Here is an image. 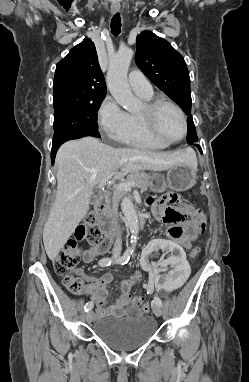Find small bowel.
I'll list each match as a JSON object with an SVG mask.
<instances>
[{
    "label": "small bowel",
    "instance_id": "obj_1",
    "mask_svg": "<svg viewBox=\"0 0 249 382\" xmlns=\"http://www.w3.org/2000/svg\"><path fill=\"white\" fill-rule=\"evenodd\" d=\"M181 202L182 197L172 193L163 195L157 200L153 197L147 199V204L151 206L155 218L170 225L167 232L169 240L178 241L179 245H182V250H184L191 247L192 241H194L200 234V229L193 217L189 218L180 208L168 205L169 203L179 204ZM168 213H170L171 216H168ZM111 245L112 239L106 237L102 243L90 247L83 252V261L85 263L93 262L98 255L107 252ZM77 272L89 282L85 287V292L94 302L95 311L98 317L136 316L146 312L135 305L132 308H128L131 300L130 291L139 281V275H134L129 279L123 280L120 285L121 296L116 299L110 307L105 308L106 297L108 294L107 286L113 280V274L108 272L95 278L86 275L82 270H78ZM152 286L153 285L150 282L145 284V287L148 289L152 288Z\"/></svg>",
    "mask_w": 249,
    "mask_h": 382
}]
</instances>
